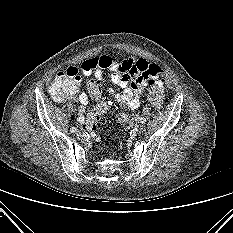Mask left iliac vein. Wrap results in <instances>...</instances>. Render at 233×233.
<instances>
[{"label": "left iliac vein", "mask_w": 233, "mask_h": 233, "mask_svg": "<svg viewBox=\"0 0 233 233\" xmlns=\"http://www.w3.org/2000/svg\"><path fill=\"white\" fill-rule=\"evenodd\" d=\"M144 130H145V126H144V125H140V126L136 129V132H137L138 134H141V133L144 132Z\"/></svg>", "instance_id": "4c4485c4"}]
</instances>
